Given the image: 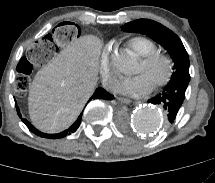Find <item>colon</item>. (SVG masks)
<instances>
[{
  "label": "colon",
  "mask_w": 215,
  "mask_h": 183,
  "mask_svg": "<svg viewBox=\"0 0 215 183\" xmlns=\"http://www.w3.org/2000/svg\"><path fill=\"white\" fill-rule=\"evenodd\" d=\"M83 36V26L77 20H67L55 27L52 34L36 41L28 49L26 57L17 63L18 77L14 81V90L20 96H29L35 90L34 77L38 65L54 57L57 51L71 42L79 41Z\"/></svg>",
  "instance_id": "colon-1"
}]
</instances>
